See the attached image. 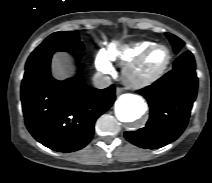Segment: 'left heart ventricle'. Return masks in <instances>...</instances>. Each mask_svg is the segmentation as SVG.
Wrapping results in <instances>:
<instances>
[{
	"label": "left heart ventricle",
	"instance_id": "b2bd125f",
	"mask_svg": "<svg viewBox=\"0 0 212 183\" xmlns=\"http://www.w3.org/2000/svg\"><path fill=\"white\" fill-rule=\"evenodd\" d=\"M168 52L165 48L152 51L134 73L136 78H143L158 71L167 61Z\"/></svg>",
	"mask_w": 212,
	"mask_h": 183
}]
</instances>
